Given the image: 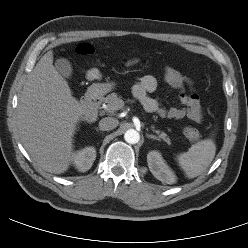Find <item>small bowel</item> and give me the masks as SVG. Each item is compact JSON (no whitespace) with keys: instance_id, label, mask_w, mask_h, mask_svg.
<instances>
[{"instance_id":"1","label":"small bowel","mask_w":248,"mask_h":248,"mask_svg":"<svg viewBox=\"0 0 248 248\" xmlns=\"http://www.w3.org/2000/svg\"><path fill=\"white\" fill-rule=\"evenodd\" d=\"M101 77L100 71L96 68L87 72L89 80H99ZM157 85L154 76L146 75L133 87L134 96L141 102L146 111L169 119L179 120L187 117L196 123L202 121L203 114L199 96L196 93L187 94L186 92V87H192L190 80H185L184 85L179 88V107H165L159 98L150 96L149 94L156 91Z\"/></svg>"}]
</instances>
